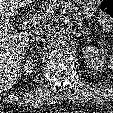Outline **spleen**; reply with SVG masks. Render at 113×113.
<instances>
[{"instance_id":"spleen-1","label":"spleen","mask_w":113,"mask_h":113,"mask_svg":"<svg viewBox=\"0 0 113 113\" xmlns=\"http://www.w3.org/2000/svg\"><path fill=\"white\" fill-rule=\"evenodd\" d=\"M109 63H110V68L113 71V55L110 57Z\"/></svg>"}]
</instances>
